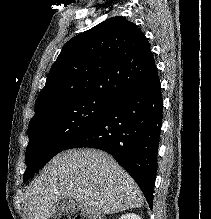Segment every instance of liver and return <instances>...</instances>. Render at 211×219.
<instances>
[{
    "label": "liver",
    "mask_w": 211,
    "mask_h": 219,
    "mask_svg": "<svg viewBox=\"0 0 211 219\" xmlns=\"http://www.w3.org/2000/svg\"><path fill=\"white\" fill-rule=\"evenodd\" d=\"M74 198L84 214H113L143 205L141 190L106 152L67 150L55 156L29 188V219H48L58 201Z\"/></svg>",
    "instance_id": "liver-1"
}]
</instances>
